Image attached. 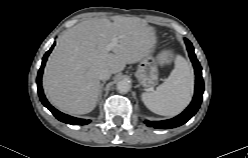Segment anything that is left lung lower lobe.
<instances>
[{
	"instance_id": "1",
	"label": "left lung lower lobe",
	"mask_w": 248,
	"mask_h": 158,
	"mask_svg": "<svg viewBox=\"0 0 248 158\" xmlns=\"http://www.w3.org/2000/svg\"><path fill=\"white\" fill-rule=\"evenodd\" d=\"M185 43L188 49V53L190 59L193 63L195 74H196V87H195V94L191 104L188 108L182 112L180 115L164 121H144L148 126L154 127L157 129H167V128H174L178 127L184 123H186L199 109L201 101H202V94L204 91V83L201 76V66L194 54V49L191 42L188 39H185Z\"/></svg>"
}]
</instances>
